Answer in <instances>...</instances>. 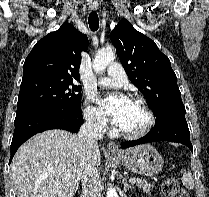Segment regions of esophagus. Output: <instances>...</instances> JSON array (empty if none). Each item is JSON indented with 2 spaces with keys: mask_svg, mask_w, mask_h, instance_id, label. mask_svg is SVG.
<instances>
[{
  "mask_svg": "<svg viewBox=\"0 0 209 197\" xmlns=\"http://www.w3.org/2000/svg\"><path fill=\"white\" fill-rule=\"evenodd\" d=\"M98 6L99 4L97 2H91L89 4V7L92 9V10H96L98 9ZM107 150L113 154H121V151L119 150L118 148V145L114 142H109L107 144Z\"/></svg>",
  "mask_w": 209,
  "mask_h": 197,
  "instance_id": "1",
  "label": "esophagus"
}]
</instances>
